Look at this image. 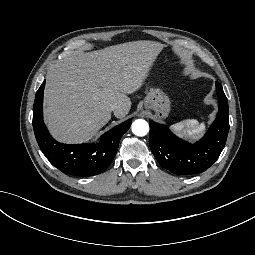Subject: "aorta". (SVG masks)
Listing matches in <instances>:
<instances>
[{
    "label": "aorta",
    "mask_w": 255,
    "mask_h": 255,
    "mask_svg": "<svg viewBox=\"0 0 255 255\" xmlns=\"http://www.w3.org/2000/svg\"><path fill=\"white\" fill-rule=\"evenodd\" d=\"M132 132L137 136H145L149 131L148 123L143 119H137L132 123Z\"/></svg>",
    "instance_id": "obj_1"
}]
</instances>
